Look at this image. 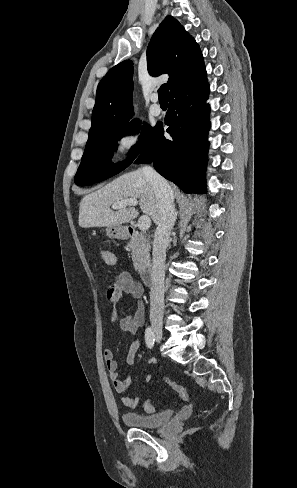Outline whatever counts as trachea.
Listing matches in <instances>:
<instances>
[{
    "instance_id": "3493384b",
    "label": "trachea",
    "mask_w": 297,
    "mask_h": 488,
    "mask_svg": "<svg viewBox=\"0 0 297 488\" xmlns=\"http://www.w3.org/2000/svg\"><path fill=\"white\" fill-rule=\"evenodd\" d=\"M168 94H169V89L167 84L161 85V87L158 90L160 104H168Z\"/></svg>"
}]
</instances>
